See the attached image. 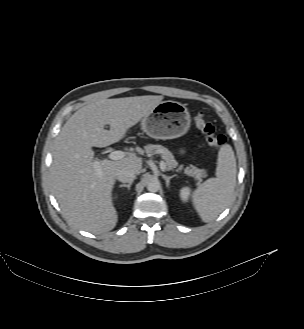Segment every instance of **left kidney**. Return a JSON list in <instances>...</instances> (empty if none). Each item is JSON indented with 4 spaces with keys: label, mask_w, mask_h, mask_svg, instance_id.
Here are the masks:
<instances>
[{
    "label": "left kidney",
    "mask_w": 304,
    "mask_h": 329,
    "mask_svg": "<svg viewBox=\"0 0 304 329\" xmlns=\"http://www.w3.org/2000/svg\"><path fill=\"white\" fill-rule=\"evenodd\" d=\"M191 189L189 187H183L180 190V198L182 201L186 202L188 200V197L190 195Z\"/></svg>",
    "instance_id": "5707ae66"
}]
</instances>
